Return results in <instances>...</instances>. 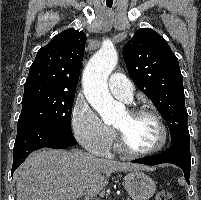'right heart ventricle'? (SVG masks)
I'll return each instance as SVG.
<instances>
[{
  "label": "right heart ventricle",
  "mask_w": 201,
  "mask_h": 200,
  "mask_svg": "<svg viewBox=\"0 0 201 200\" xmlns=\"http://www.w3.org/2000/svg\"><path fill=\"white\" fill-rule=\"evenodd\" d=\"M116 149H117V150H120V148H119V146H118V145H116Z\"/></svg>",
  "instance_id": "1"
}]
</instances>
